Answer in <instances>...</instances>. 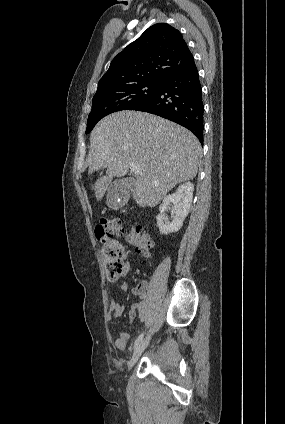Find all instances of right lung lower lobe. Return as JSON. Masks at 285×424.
I'll use <instances>...</instances> for the list:
<instances>
[{"label":"right lung lower lobe","instance_id":"right-lung-lower-lobe-1","mask_svg":"<svg viewBox=\"0 0 285 424\" xmlns=\"http://www.w3.org/2000/svg\"><path fill=\"white\" fill-rule=\"evenodd\" d=\"M130 110L152 113L189 129L203 144L202 88L194 60L162 81L160 89Z\"/></svg>","mask_w":285,"mask_h":424}]
</instances>
